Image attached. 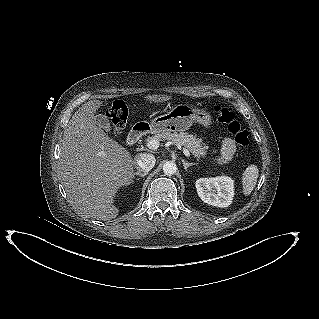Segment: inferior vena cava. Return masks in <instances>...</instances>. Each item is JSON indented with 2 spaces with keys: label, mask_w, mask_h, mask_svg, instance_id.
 <instances>
[{
  "label": "inferior vena cava",
  "mask_w": 319,
  "mask_h": 319,
  "mask_svg": "<svg viewBox=\"0 0 319 319\" xmlns=\"http://www.w3.org/2000/svg\"><path fill=\"white\" fill-rule=\"evenodd\" d=\"M135 161V168L138 171L148 173L154 167L156 159L152 154L143 153L137 155Z\"/></svg>",
  "instance_id": "inferior-vena-cava-1"
}]
</instances>
